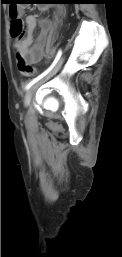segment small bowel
<instances>
[{"label":"small bowel","mask_w":122,"mask_h":257,"mask_svg":"<svg viewBox=\"0 0 122 257\" xmlns=\"http://www.w3.org/2000/svg\"><path fill=\"white\" fill-rule=\"evenodd\" d=\"M45 6H41L42 12L46 11ZM22 10H19L21 13ZM26 31L25 34L14 41V48L17 53L28 63H38L48 46L49 32L53 28V23L45 17L37 18L34 15H27L25 17ZM39 26L40 32L38 37L34 39L33 32Z\"/></svg>","instance_id":"obj_1"}]
</instances>
